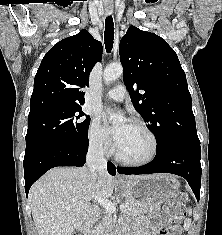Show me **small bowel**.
I'll return each instance as SVG.
<instances>
[{"instance_id":"obj_1","label":"small bowel","mask_w":222,"mask_h":235,"mask_svg":"<svg viewBox=\"0 0 222 235\" xmlns=\"http://www.w3.org/2000/svg\"><path fill=\"white\" fill-rule=\"evenodd\" d=\"M157 224V216L151 215L147 221V229H140L137 233L133 235H156Z\"/></svg>"}]
</instances>
